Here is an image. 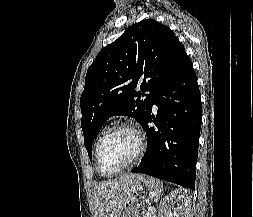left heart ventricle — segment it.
<instances>
[{
  "label": "left heart ventricle",
  "instance_id": "1",
  "mask_svg": "<svg viewBox=\"0 0 253 217\" xmlns=\"http://www.w3.org/2000/svg\"><path fill=\"white\" fill-rule=\"evenodd\" d=\"M137 150L135 135L125 129L111 133L102 144L99 164L103 172L110 173L129 162Z\"/></svg>",
  "mask_w": 253,
  "mask_h": 217
}]
</instances>
